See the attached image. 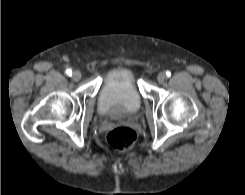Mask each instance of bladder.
I'll list each match as a JSON object with an SVG mask.
<instances>
[{
	"label": "bladder",
	"mask_w": 245,
	"mask_h": 195,
	"mask_svg": "<svg viewBox=\"0 0 245 195\" xmlns=\"http://www.w3.org/2000/svg\"><path fill=\"white\" fill-rule=\"evenodd\" d=\"M142 105L135 77L128 68H117L105 80L98 96V109L104 114H133Z\"/></svg>",
	"instance_id": "31cf9c89"
}]
</instances>
